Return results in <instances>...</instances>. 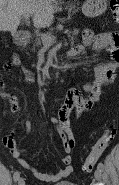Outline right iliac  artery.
I'll return each instance as SVG.
<instances>
[{"label": "right iliac artery", "instance_id": "right-iliac-artery-1", "mask_svg": "<svg viewBox=\"0 0 119 185\" xmlns=\"http://www.w3.org/2000/svg\"><path fill=\"white\" fill-rule=\"evenodd\" d=\"M19 177H20V174H19L18 171H16V172L14 173V175H13L14 180L17 181V180L19 179Z\"/></svg>", "mask_w": 119, "mask_h": 185}]
</instances>
